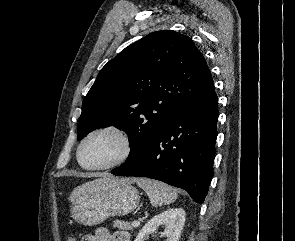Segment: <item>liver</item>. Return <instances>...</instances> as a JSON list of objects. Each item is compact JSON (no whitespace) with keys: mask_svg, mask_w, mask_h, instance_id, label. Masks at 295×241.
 Masks as SVG:
<instances>
[{"mask_svg":"<svg viewBox=\"0 0 295 241\" xmlns=\"http://www.w3.org/2000/svg\"><path fill=\"white\" fill-rule=\"evenodd\" d=\"M114 178L110 175H103L102 178L87 182L77 188H75L71 195H70V200L73 201L79 194L83 193L84 191L88 190L90 187L101 184L103 182H109L112 181ZM127 182L132 183L135 179H125Z\"/></svg>","mask_w":295,"mask_h":241,"instance_id":"1","label":"liver"}]
</instances>
